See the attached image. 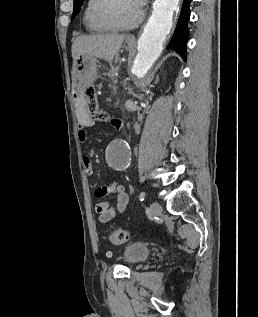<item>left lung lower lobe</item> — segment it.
I'll return each instance as SVG.
<instances>
[{
	"label": "left lung lower lobe",
	"instance_id": "0a47b994",
	"mask_svg": "<svg viewBox=\"0 0 258 317\" xmlns=\"http://www.w3.org/2000/svg\"><path fill=\"white\" fill-rule=\"evenodd\" d=\"M192 0H184L181 8V13L174 35L169 42L167 49H174L186 61V43L189 32L187 23L190 18V3Z\"/></svg>",
	"mask_w": 258,
	"mask_h": 317
}]
</instances>
